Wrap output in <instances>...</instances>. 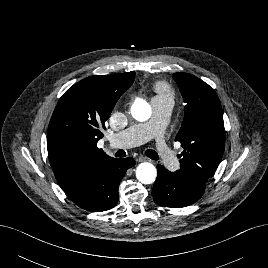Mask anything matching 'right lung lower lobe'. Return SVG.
Instances as JSON below:
<instances>
[{
    "mask_svg": "<svg viewBox=\"0 0 268 268\" xmlns=\"http://www.w3.org/2000/svg\"><path fill=\"white\" fill-rule=\"evenodd\" d=\"M135 164L131 157L109 161L94 177L86 194L75 201L82 209L101 212L118 202V186L126 171Z\"/></svg>",
    "mask_w": 268,
    "mask_h": 268,
    "instance_id": "obj_1",
    "label": "right lung lower lobe"
}]
</instances>
